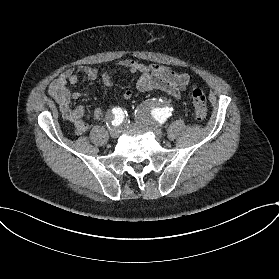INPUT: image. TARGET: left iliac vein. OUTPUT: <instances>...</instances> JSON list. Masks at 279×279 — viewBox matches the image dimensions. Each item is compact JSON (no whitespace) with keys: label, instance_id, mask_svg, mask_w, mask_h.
<instances>
[{"label":"left iliac vein","instance_id":"1","mask_svg":"<svg viewBox=\"0 0 279 279\" xmlns=\"http://www.w3.org/2000/svg\"><path fill=\"white\" fill-rule=\"evenodd\" d=\"M144 128L147 129L148 131H152L157 137L163 136V131L157 125L148 124Z\"/></svg>","mask_w":279,"mask_h":279}]
</instances>
